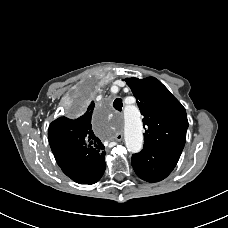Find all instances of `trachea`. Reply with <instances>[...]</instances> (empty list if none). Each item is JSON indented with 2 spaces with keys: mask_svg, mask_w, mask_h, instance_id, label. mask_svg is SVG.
Instances as JSON below:
<instances>
[{
  "mask_svg": "<svg viewBox=\"0 0 228 228\" xmlns=\"http://www.w3.org/2000/svg\"><path fill=\"white\" fill-rule=\"evenodd\" d=\"M113 107L116 110L121 112L122 107H123L122 99H120V98L115 99L114 102H113Z\"/></svg>",
  "mask_w": 228,
  "mask_h": 228,
  "instance_id": "obj_1",
  "label": "trachea"
}]
</instances>
